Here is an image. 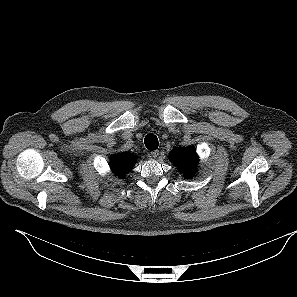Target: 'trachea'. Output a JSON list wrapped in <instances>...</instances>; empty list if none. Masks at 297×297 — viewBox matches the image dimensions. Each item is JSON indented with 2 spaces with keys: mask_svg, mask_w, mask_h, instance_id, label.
Wrapping results in <instances>:
<instances>
[{
  "mask_svg": "<svg viewBox=\"0 0 297 297\" xmlns=\"http://www.w3.org/2000/svg\"><path fill=\"white\" fill-rule=\"evenodd\" d=\"M145 146L148 150H156L158 148V138L154 134H147L144 139Z\"/></svg>",
  "mask_w": 297,
  "mask_h": 297,
  "instance_id": "trachea-1",
  "label": "trachea"
}]
</instances>
